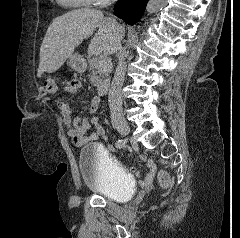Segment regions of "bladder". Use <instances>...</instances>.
I'll use <instances>...</instances> for the list:
<instances>
[{
	"label": "bladder",
	"instance_id": "bladder-1",
	"mask_svg": "<svg viewBox=\"0 0 240 238\" xmlns=\"http://www.w3.org/2000/svg\"><path fill=\"white\" fill-rule=\"evenodd\" d=\"M79 170L83 184L109 200L124 202L135 192L129 172L97 144H88L81 149Z\"/></svg>",
	"mask_w": 240,
	"mask_h": 238
}]
</instances>
